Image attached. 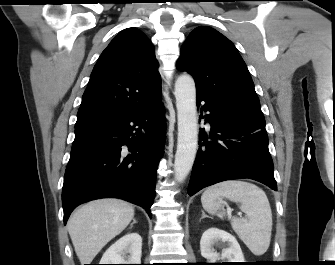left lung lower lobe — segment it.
<instances>
[{
  "instance_id": "left-lung-lower-lobe-1",
  "label": "left lung lower lobe",
  "mask_w": 335,
  "mask_h": 265,
  "mask_svg": "<svg viewBox=\"0 0 335 265\" xmlns=\"http://www.w3.org/2000/svg\"><path fill=\"white\" fill-rule=\"evenodd\" d=\"M197 106L211 124L200 130V149L192 169L188 194L215 183L250 178L277 190L265 124L196 94Z\"/></svg>"
}]
</instances>
